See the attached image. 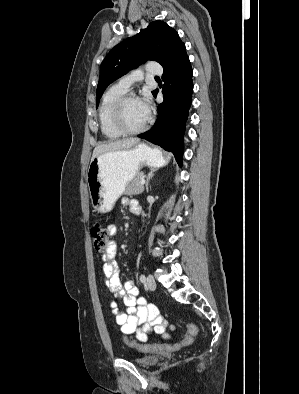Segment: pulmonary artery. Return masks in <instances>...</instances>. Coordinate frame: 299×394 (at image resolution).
<instances>
[{"label": "pulmonary artery", "mask_w": 299, "mask_h": 394, "mask_svg": "<svg viewBox=\"0 0 299 394\" xmlns=\"http://www.w3.org/2000/svg\"><path fill=\"white\" fill-rule=\"evenodd\" d=\"M148 74L151 76H159L162 75L163 69L158 67L157 65L154 64H149L148 65ZM142 78V73L140 70H135L132 71L126 75H124L118 82V86H120L122 89L128 91L132 85L141 80Z\"/></svg>", "instance_id": "pulmonary-artery-1"}]
</instances>
